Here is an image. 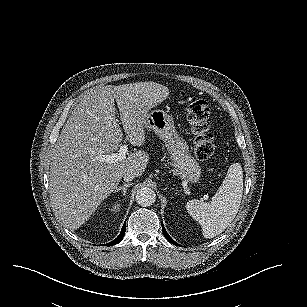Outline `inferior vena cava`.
Listing matches in <instances>:
<instances>
[{
	"label": "inferior vena cava",
	"mask_w": 307,
	"mask_h": 307,
	"mask_svg": "<svg viewBox=\"0 0 307 307\" xmlns=\"http://www.w3.org/2000/svg\"><path fill=\"white\" fill-rule=\"evenodd\" d=\"M134 178H135V175L133 174L131 170L126 171L123 175V179L125 182L132 181Z\"/></svg>",
	"instance_id": "1"
}]
</instances>
